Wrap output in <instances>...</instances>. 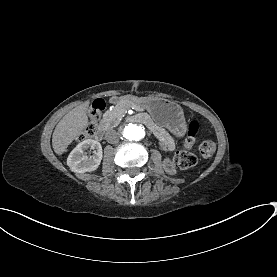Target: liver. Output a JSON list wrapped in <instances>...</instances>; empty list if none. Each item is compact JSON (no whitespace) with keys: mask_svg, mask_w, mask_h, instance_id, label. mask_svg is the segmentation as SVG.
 Masks as SVG:
<instances>
[{"mask_svg":"<svg viewBox=\"0 0 277 277\" xmlns=\"http://www.w3.org/2000/svg\"><path fill=\"white\" fill-rule=\"evenodd\" d=\"M90 102L85 101L69 111L56 125L52 135V146L54 152L62 155L69 144L81 134L88 125L86 115Z\"/></svg>","mask_w":277,"mask_h":277,"instance_id":"obj_1","label":"liver"}]
</instances>
